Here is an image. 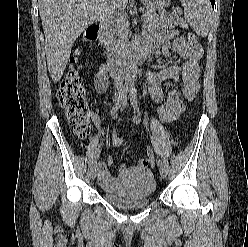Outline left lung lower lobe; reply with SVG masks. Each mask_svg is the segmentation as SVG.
<instances>
[{
  "label": "left lung lower lobe",
  "mask_w": 248,
  "mask_h": 247,
  "mask_svg": "<svg viewBox=\"0 0 248 247\" xmlns=\"http://www.w3.org/2000/svg\"><path fill=\"white\" fill-rule=\"evenodd\" d=\"M210 1H211L212 6L214 7L215 0H210Z\"/></svg>",
  "instance_id": "0a47b994"
}]
</instances>
